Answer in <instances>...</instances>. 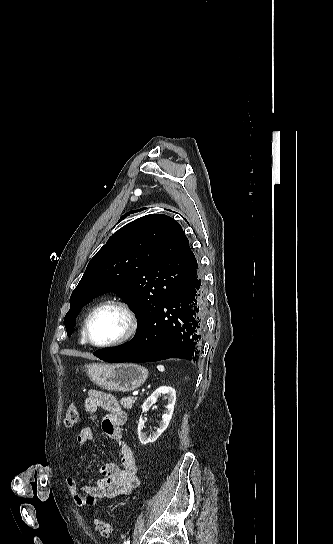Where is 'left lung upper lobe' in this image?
Instances as JSON below:
<instances>
[{
	"instance_id": "obj_1",
	"label": "left lung upper lobe",
	"mask_w": 333,
	"mask_h": 544,
	"mask_svg": "<svg viewBox=\"0 0 333 544\" xmlns=\"http://www.w3.org/2000/svg\"><path fill=\"white\" fill-rule=\"evenodd\" d=\"M197 265L181 225L173 218L151 214L134 220L115 232L89 262L70 297L64 318L67 335L74 332L82 306L107 291L128 299L141 324Z\"/></svg>"
}]
</instances>
